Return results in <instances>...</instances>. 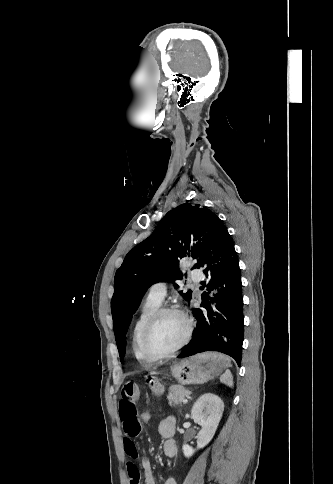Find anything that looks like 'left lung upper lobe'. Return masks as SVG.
Instances as JSON below:
<instances>
[{
	"label": "left lung upper lobe",
	"mask_w": 333,
	"mask_h": 484,
	"mask_svg": "<svg viewBox=\"0 0 333 484\" xmlns=\"http://www.w3.org/2000/svg\"><path fill=\"white\" fill-rule=\"evenodd\" d=\"M215 217L213 212L200 204L184 203L169 211L155 231L126 255L116 271L111 300L113 327L121 361L132 314L145 291L156 282L175 283L182 278L178 269L179 258L189 256L198 260ZM174 286L179 287L177 284ZM179 293L185 300L191 299V290Z\"/></svg>",
	"instance_id": "obj_1"
}]
</instances>
